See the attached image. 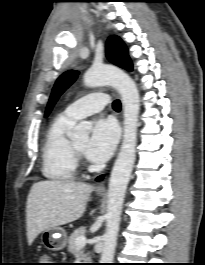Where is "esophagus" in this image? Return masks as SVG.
<instances>
[{"label": "esophagus", "mask_w": 205, "mask_h": 265, "mask_svg": "<svg viewBox=\"0 0 205 265\" xmlns=\"http://www.w3.org/2000/svg\"><path fill=\"white\" fill-rule=\"evenodd\" d=\"M95 190H96L97 192H103V191H105V183H104V181L98 183V184L96 185V187H95Z\"/></svg>", "instance_id": "esophagus-1"}]
</instances>
